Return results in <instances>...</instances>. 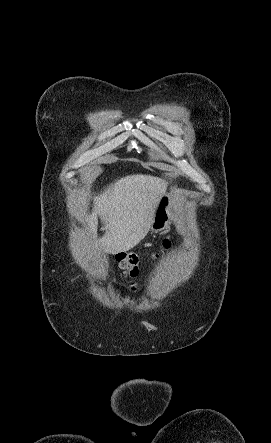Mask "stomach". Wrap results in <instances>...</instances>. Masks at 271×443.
<instances>
[{"mask_svg":"<svg viewBox=\"0 0 271 443\" xmlns=\"http://www.w3.org/2000/svg\"><path fill=\"white\" fill-rule=\"evenodd\" d=\"M174 202L170 194H164L161 196L159 204H157L154 210L153 223L150 227V231H162L167 229L171 225L173 220Z\"/></svg>","mask_w":271,"mask_h":443,"instance_id":"obj_1","label":"stomach"}]
</instances>
